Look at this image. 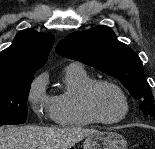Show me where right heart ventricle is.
<instances>
[{
  "mask_svg": "<svg viewBox=\"0 0 155 149\" xmlns=\"http://www.w3.org/2000/svg\"><path fill=\"white\" fill-rule=\"evenodd\" d=\"M65 90L53 97L52 118L61 127H84L93 121L82 106V93L95 79L80 65L70 64L64 70Z\"/></svg>",
  "mask_w": 155,
  "mask_h": 149,
  "instance_id": "obj_1",
  "label": "right heart ventricle"
}]
</instances>
